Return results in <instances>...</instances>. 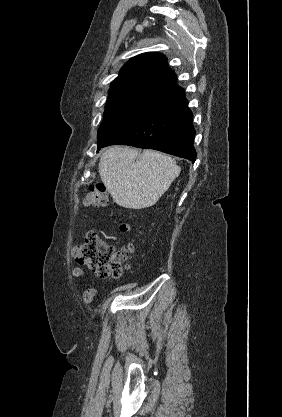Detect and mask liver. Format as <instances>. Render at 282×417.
Wrapping results in <instances>:
<instances>
[{
    "label": "liver",
    "mask_w": 282,
    "mask_h": 417,
    "mask_svg": "<svg viewBox=\"0 0 282 417\" xmlns=\"http://www.w3.org/2000/svg\"><path fill=\"white\" fill-rule=\"evenodd\" d=\"M181 172L176 160L157 150L110 146L99 162V174L106 190L125 209H145L159 200Z\"/></svg>",
    "instance_id": "1"
}]
</instances>
